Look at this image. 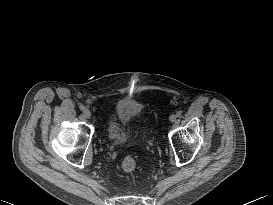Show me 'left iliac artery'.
Wrapping results in <instances>:
<instances>
[{"label":"left iliac artery","mask_w":273,"mask_h":205,"mask_svg":"<svg viewBox=\"0 0 273 205\" xmlns=\"http://www.w3.org/2000/svg\"><path fill=\"white\" fill-rule=\"evenodd\" d=\"M181 113H182L181 111H178L177 112V117H181Z\"/></svg>","instance_id":"left-iliac-artery-1"}]
</instances>
